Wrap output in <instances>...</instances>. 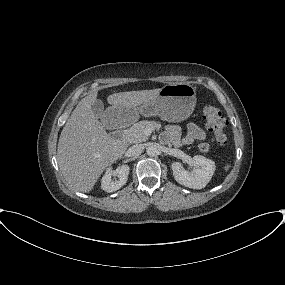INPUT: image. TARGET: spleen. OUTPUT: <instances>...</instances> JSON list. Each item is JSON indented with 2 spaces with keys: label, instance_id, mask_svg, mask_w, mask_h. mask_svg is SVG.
I'll list each match as a JSON object with an SVG mask.
<instances>
[{
  "label": "spleen",
  "instance_id": "obj_1",
  "mask_svg": "<svg viewBox=\"0 0 285 285\" xmlns=\"http://www.w3.org/2000/svg\"><path fill=\"white\" fill-rule=\"evenodd\" d=\"M229 168H230V165H229V164H227V165L225 166V171H228V170H229Z\"/></svg>",
  "mask_w": 285,
  "mask_h": 285
}]
</instances>
